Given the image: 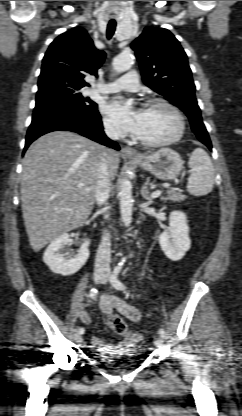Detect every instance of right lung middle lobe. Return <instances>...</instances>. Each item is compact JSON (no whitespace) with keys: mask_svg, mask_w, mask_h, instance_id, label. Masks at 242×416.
<instances>
[{"mask_svg":"<svg viewBox=\"0 0 242 416\" xmlns=\"http://www.w3.org/2000/svg\"><path fill=\"white\" fill-rule=\"evenodd\" d=\"M47 105H61L81 112L97 109V104L88 97H83L78 88H61L51 94L37 96L34 110Z\"/></svg>","mask_w":242,"mask_h":416,"instance_id":"1","label":"right lung middle lobe"}]
</instances>
